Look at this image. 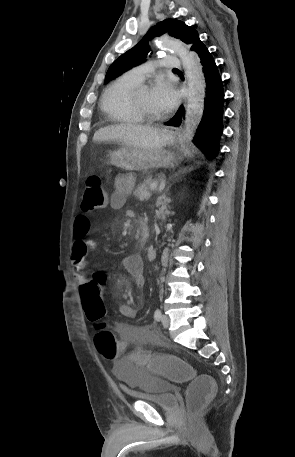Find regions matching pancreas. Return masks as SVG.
Returning a JSON list of instances; mask_svg holds the SVG:
<instances>
[{
	"instance_id": "obj_1",
	"label": "pancreas",
	"mask_w": 295,
	"mask_h": 457,
	"mask_svg": "<svg viewBox=\"0 0 295 457\" xmlns=\"http://www.w3.org/2000/svg\"><path fill=\"white\" fill-rule=\"evenodd\" d=\"M153 181H146L142 185L138 186V188L134 191V195L140 200L144 201L149 198L150 196V185Z\"/></svg>"
}]
</instances>
